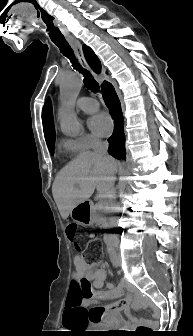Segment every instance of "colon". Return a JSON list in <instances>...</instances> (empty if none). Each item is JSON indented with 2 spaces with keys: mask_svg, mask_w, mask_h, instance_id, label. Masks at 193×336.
<instances>
[{
  "mask_svg": "<svg viewBox=\"0 0 193 336\" xmlns=\"http://www.w3.org/2000/svg\"><path fill=\"white\" fill-rule=\"evenodd\" d=\"M66 235L70 242H72L77 252L83 258H93L100 250V242L92 237L84 238L82 236V230L76 223H69L66 226ZM85 298H91L93 291L91 286H87L83 292ZM135 336H149L151 333L145 327H138L134 332Z\"/></svg>",
  "mask_w": 193,
  "mask_h": 336,
  "instance_id": "obj_1",
  "label": "colon"
}]
</instances>
